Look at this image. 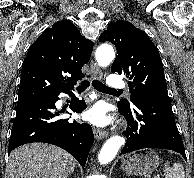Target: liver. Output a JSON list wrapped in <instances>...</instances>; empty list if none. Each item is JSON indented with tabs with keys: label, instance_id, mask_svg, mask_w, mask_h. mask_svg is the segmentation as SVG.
I'll return each mask as SVG.
<instances>
[{
	"label": "liver",
	"instance_id": "obj_1",
	"mask_svg": "<svg viewBox=\"0 0 194 178\" xmlns=\"http://www.w3.org/2000/svg\"><path fill=\"white\" fill-rule=\"evenodd\" d=\"M76 164V160L59 147L30 143L11 152L7 178H67Z\"/></svg>",
	"mask_w": 194,
	"mask_h": 178
}]
</instances>
